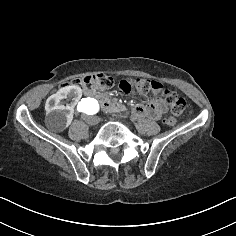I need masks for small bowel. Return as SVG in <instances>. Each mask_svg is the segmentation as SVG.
Masks as SVG:
<instances>
[{
  "label": "small bowel",
  "instance_id": "1",
  "mask_svg": "<svg viewBox=\"0 0 236 236\" xmlns=\"http://www.w3.org/2000/svg\"><path fill=\"white\" fill-rule=\"evenodd\" d=\"M165 111L166 105L161 99H154L146 105H136L133 109L134 115L153 120L160 119Z\"/></svg>",
  "mask_w": 236,
  "mask_h": 236
}]
</instances>
